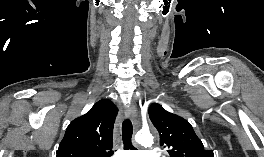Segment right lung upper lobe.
<instances>
[{
	"instance_id": "1",
	"label": "right lung upper lobe",
	"mask_w": 264,
	"mask_h": 157,
	"mask_svg": "<svg viewBox=\"0 0 264 157\" xmlns=\"http://www.w3.org/2000/svg\"><path fill=\"white\" fill-rule=\"evenodd\" d=\"M117 107L107 99L95 103L89 112L73 120L59 145L56 157H109Z\"/></svg>"
}]
</instances>
